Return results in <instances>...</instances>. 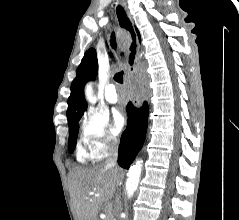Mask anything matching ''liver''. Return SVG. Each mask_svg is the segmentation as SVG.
<instances>
[{"mask_svg":"<svg viewBox=\"0 0 239 220\" xmlns=\"http://www.w3.org/2000/svg\"><path fill=\"white\" fill-rule=\"evenodd\" d=\"M123 177L121 168L106 165L74 169L69 186L78 220H99L100 206L114 197Z\"/></svg>","mask_w":239,"mask_h":220,"instance_id":"liver-1","label":"liver"}]
</instances>
